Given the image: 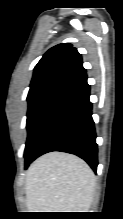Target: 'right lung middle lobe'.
<instances>
[{
	"instance_id": "right-lung-middle-lobe-1",
	"label": "right lung middle lobe",
	"mask_w": 123,
	"mask_h": 219,
	"mask_svg": "<svg viewBox=\"0 0 123 219\" xmlns=\"http://www.w3.org/2000/svg\"><path fill=\"white\" fill-rule=\"evenodd\" d=\"M69 84L70 81L58 80L40 85L29 90L27 96L28 137L24 152L25 163L31 158L32 146L40 132L41 125L46 115Z\"/></svg>"
}]
</instances>
